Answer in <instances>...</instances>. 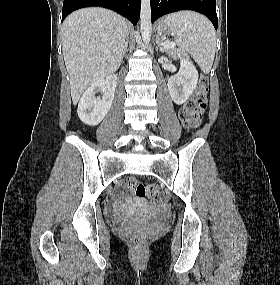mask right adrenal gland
<instances>
[{
    "mask_svg": "<svg viewBox=\"0 0 280 285\" xmlns=\"http://www.w3.org/2000/svg\"><path fill=\"white\" fill-rule=\"evenodd\" d=\"M128 50V38L126 40V43H125V46H124V49H123V54H122V59L125 57V54Z\"/></svg>",
    "mask_w": 280,
    "mask_h": 285,
    "instance_id": "obj_1",
    "label": "right adrenal gland"
}]
</instances>
